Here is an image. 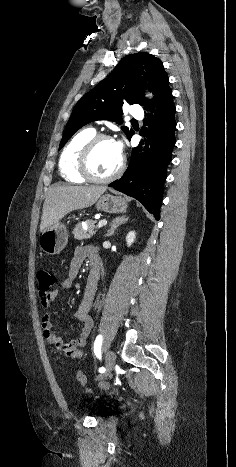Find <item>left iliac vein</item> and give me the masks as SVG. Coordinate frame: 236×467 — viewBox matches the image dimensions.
<instances>
[{"label": "left iliac vein", "instance_id": "1", "mask_svg": "<svg viewBox=\"0 0 236 467\" xmlns=\"http://www.w3.org/2000/svg\"><path fill=\"white\" fill-rule=\"evenodd\" d=\"M115 364V354L113 351L109 350L105 356V373L101 375V378H106L114 368Z\"/></svg>", "mask_w": 236, "mask_h": 467}]
</instances>
